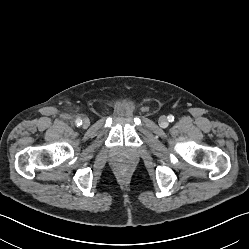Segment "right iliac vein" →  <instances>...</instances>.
I'll return each mask as SVG.
<instances>
[{
	"label": "right iliac vein",
	"mask_w": 249,
	"mask_h": 249,
	"mask_svg": "<svg viewBox=\"0 0 249 249\" xmlns=\"http://www.w3.org/2000/svg\"><path fill=\"white\" fill-rule=\"evenodd\" d=\"M89 124H90V120L88 118H84L83 122H82V126L84 128H87L89 126Z\"/></svg>",
	"instance_id": "1"
}]
</instances>
